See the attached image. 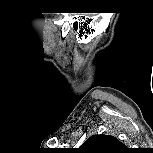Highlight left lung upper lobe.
<instances>
[{
    "label": "left lung upper lobe",
    "instance_id": "1",
    "mask_svg": "<svg viewBox=\"0 0 153 153\" xmlns=\"http://www.w3.org/2000/svg\"><path fill=\"white\" fill-rule=\"evenodd\" d=\"M123 147V144L113 136L94 135L80 147V150L84 153H112Z\"/></svg>",
    "mask_w": 153,
    "mask_h": 153
}]
</instances>
